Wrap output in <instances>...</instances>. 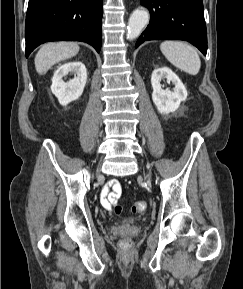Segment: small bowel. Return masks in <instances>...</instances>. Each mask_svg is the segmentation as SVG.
<instances>
[{
    "instance_id": "obj_1",
    "label": "small bowel",
    "mask_w": 243,
    "mask_h": 289,
    "mask_svg": "<svg viewBox=\"0 0 243 289\" xmlns=\"http://www.w3.org/2000/svg\"><path fill=\"white\" fill-rule=\"evenodd\" d=\"M121 196V184L117 180H111L107 187L102 191L101 204L104 208L111 210L112 207L120 201Z\"/></svg>"
}]
</instances>
